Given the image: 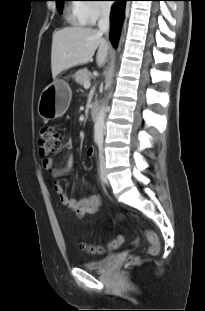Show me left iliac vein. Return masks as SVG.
Returning a JSON list of instances; mask_svg holds the SVG:
<instances>
[{"label": "left iliac vein", "mask_w": 205, "mask_h": 311, "mask_svg": "<svg viewBox=\"0 0 205 311\" xmlns=\"http://www.w3.org/2000/svg\"><path fill=\"white\" fill-rule=\"evenodd\" d=\"M99 168H100V179L104 184H108L109 180L107 178L106 166H105V157L103 153L99 157Z\"/></svg>", "instance_id": "4c4485c4"}]
</instances>
